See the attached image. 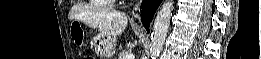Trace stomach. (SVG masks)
Listing matches in <instances>:
<instances>
[{
    "mask_svg": "<svg viewBox=\"0 0 261 59\" xmlns=\"http://www.w3.org/2000/svg\"><path fill=\"white\" fill-rule=\"evenodd\" d=\"M115 41V37L98 34L93 41L94 51L100 57L110 59L113 56Z\"/></svg>",
    "mask_w": 261,
    "mask_h": 59,
    "instance_id": "obj_1",
    "label": "stomach"
}]
</instances>
